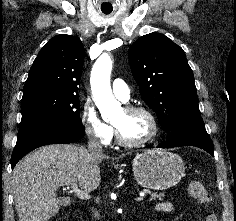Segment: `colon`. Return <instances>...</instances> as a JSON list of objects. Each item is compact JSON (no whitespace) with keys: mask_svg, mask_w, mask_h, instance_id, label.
<instances>
[{"mask_svg":"<svg viewBox=\"0 0 236 221\" xmlns=\"http://www.w3.org/2000/svg\"><path fill=\"white\" fill-rule=\"evenodd\" d=\"M189 194L205 208L211 203V196L207 188L199 181H192L188 186ZM206 221H217L216 216L212 212H207Z\"/></svg>","mask_w":236,"mask_h":221,"instance_id":"5ec220e1","label":"colon"}]
</instances>
